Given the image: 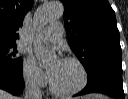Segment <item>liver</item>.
Wrapping results in <instances>:
<instances>
[{
  "label": "liver",
  "instance_id": "1",
  "mask_svg": "<svg viewBox=\"0 0 128 99\" xmlns=\"http://www.w3.org/2000/svg\"><path fill=\"white\" fill-rule=\"evenodd\" d=\"M0 99H16V98L11 94H9L8 92L0 90ZM86 99H106V97L102 95L94 94L87 96Z\"/></svg>",
  "mask_w": 128,
  "mask_h": 99
}]
</instances>
